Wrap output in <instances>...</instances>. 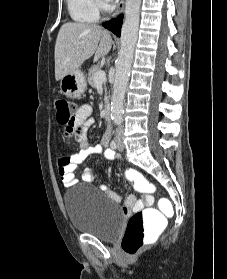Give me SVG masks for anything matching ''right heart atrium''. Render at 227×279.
<instances>
[{
  "label": "right heart atrium",
  "instance_id": "obj_1",
  "mask_svg": "<svg viewBox=\"0 0 227 279\" xmlns=\"http://www.w3.org/2000/svg\"><path fill=\"white\" fill-rule=\"evenodd\" d=\"M91 1H92V4H93L94 8L97 11L103 10L105 8L103 0H91Z\"/></svg>",
  "mask_w": 227,
  "mask_h": 279
}]
</instances>
